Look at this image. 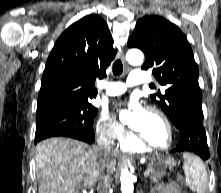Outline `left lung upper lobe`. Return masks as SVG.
<instances>
[{"mask_svg": "<svg viewBox=\"0 0 221 193\" xmlns=\"http://www.w3.org/2000/svg\"><path fill=\"white\" fill-rule=\"evenodd\" d=\"M128 46L143 50L142 69H151L157 81L167 86L165 94L154 93L151 98L180 129L189 107L202 104L198 67L187 38L173 23L151 15L137 22Z\"/></svg>", "mask_w": 221, "mask_h": 193, "instance_id": "obj_1", "label": "left lung upper lobe"}]
</instances>
